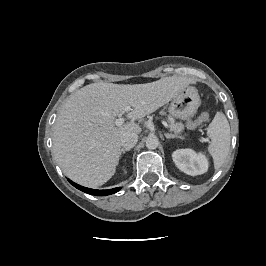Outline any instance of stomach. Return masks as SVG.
Segmentation results:
<instances>
[{
  "instance_id": "obj_1",
  "label": "stomach",
  "mask_w": 266,
  "mask_h": 266,
  "mask_svg": "<svg viewBox=\"0 0 266 266\" xmlns=\"http://www.w3.org/2000/svg\"><path fill=\"white\" fill-rule=\"evenodd\" d=\"M200 103L201 100L197 89L187 86L172 99L168 111L174 118L186 120L196 114Z\"/></svg>"
}]
</instances>
